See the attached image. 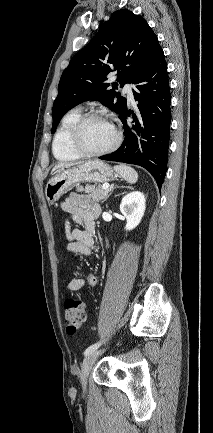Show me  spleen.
I'll use <instances>...</instances> for the list:
<instances>
[{"mask_svg":"<svg viewBox=\"0 0 213 433\" xmlns=\"http://www.w3.org/2000/svg\"><path fill=\"white\" fill-rule=\"evenodd\" d=\"M114 170L127 182L134 184L138 180V173L130 166L121 164L114 166Z\"/></svg>","mask_w":213,"mask_h":433,"instance_id":"1","label":"spleen"}]
</instances>
